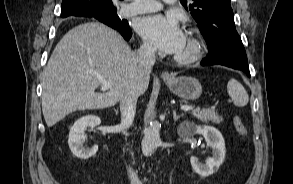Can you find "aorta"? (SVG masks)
Instances as JSON below:
<instances>
[{
	"label": "aorta",
	"mask_w": 293,
	"mask_h": 184,
	"mask_svg": "<svg viewBox=\"0 0 293 184\" xmlns=\"http://www.w3.org/2000/svg\"><path fill=\"white\" fill-rule=\"evenodd\" d=\"M160 128L161 125L153 121L145 130V135L142 140V152L145 156H149L157 149L160 143Z\"/></svg>",
	"instance_id": "762f6f07"
}]
</instances>
